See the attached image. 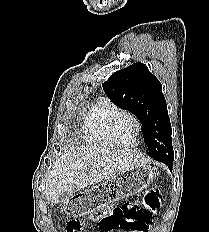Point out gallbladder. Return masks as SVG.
<instances>
[{"mask_svg": "<svg viewBox=\"0 0 209 232\" xmlns=\"http://www.w3.org/2000/svg\"><path fill=\"white\" fill-rule=\"evenodd\" d=\"M69 197V194H62L61 196H59L55 201L54 203H63L65 202Z\"/></svg>", "mask_w": 209, "mask_h": 232, "instance_id": "1", "label": "gallbladder"}]
</instances>
